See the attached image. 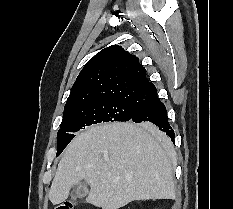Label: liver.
<instances>
[{
    "instance_id": "liver-1",
    "label": "liver",
    "mask_w": 233,
    "mask_h": 209,
    "mask_svg": "<svg viewBox=\"0 0 233 209\" xmlns=\"http://www.w3.org/2000/svg\"><path fill=\"white\" fill-rule=\"evenodd\" d=\"M156 127L131 122L92 126L66 148L52 181L49 199L64 202L70 189L85 180L86 201L102 209H119L135 200L175 199L172 165Z\"/></svg>"
}]
</instances>
